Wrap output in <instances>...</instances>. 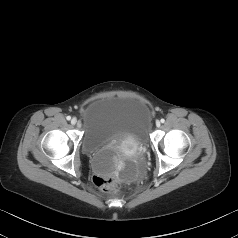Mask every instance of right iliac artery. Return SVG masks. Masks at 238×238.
Listing matches in <instances>:
<instances>
[{
  "mask_svg": "<svg viewBox=\"0 0 238 238\" xmlns=\"http://www.w3.org/2000/svg\"><path fill=\"white\" fill-rule=\"evenodd\" d=\"M66 119H67V120H70V119H71V116H67Z\"/></svg>",
  "mask_w": 238,
  "mask_h": 238,
  "instance_id": "82829eb1",
  "label": "right iliac artery"
}]
</instances>
